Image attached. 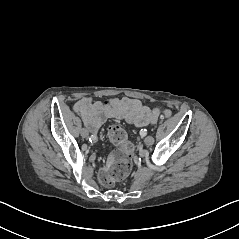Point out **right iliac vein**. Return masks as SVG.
I'll return each mask as SVG.
<instances>
[{
	"mask_svg": "<svg viewBox=\"0 0 239 239\" xmlns=\"http://www.w3.org/2000/svg\"><path fill=\"white\" fill-rule=\"evenodd\" d=\"M80 134L83 138H87L89 135V132L86 128H82Z\"/></svg>",
	"mask_w": 239,
	"mask_h": 239,
	"instance_id": "right-iliac-vein-1",
	"label": "right iliac vein"
}]
</instances>
